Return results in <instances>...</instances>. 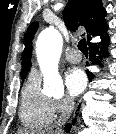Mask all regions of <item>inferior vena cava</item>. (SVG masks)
<instances>
[{
  "label": "inferior vena cava",
  "mask_w": 116,
  "mask_h": 134,
  "mask_svg": "<svg viewBox=\"0 0 116 134\" xmlns=\"http://www.w3.org/2000/svg\"><path fill=\"white\" fill-rule=\"evenodd\" d=\"M74 100L71 97L66 98L65 105L61 111L59 120L56 122L55 127L58 129L61 127L70 117L74 109Z\"/></svg>",
  "instance_id": "obj_1"
}]
</instances>
